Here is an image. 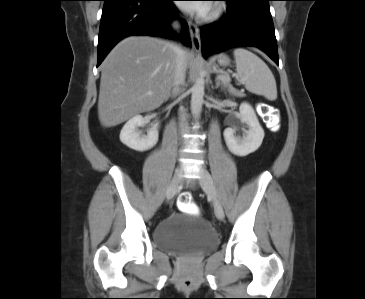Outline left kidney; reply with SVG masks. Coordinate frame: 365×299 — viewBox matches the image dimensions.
I'll list each match as a JSON object with an SVG mask.
<instances>
[{
    "instance_id": "5707ae66",
    "label": "left kidney",
    "mask_w": 365,
    "mask_h": 299,
    "mask_svg": "<svg viewBox=\"0 0 365 299\" xmlns=\"http://www.w3.org/2000/svg\"><path fill=\"white\" fill-rule=\"evenodd\" d=\"M240 120L248 125L243 137L235 136L236 130L227 128L224 131V138L229 150L237 156H247L255 152L262 144L264 130L261 127L257 116L248 103L244 102L239 107Z\"/></svg>"
}]
</instances>
